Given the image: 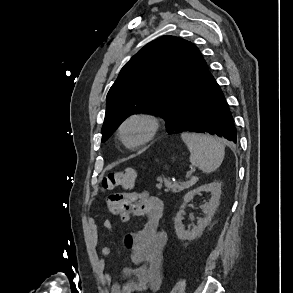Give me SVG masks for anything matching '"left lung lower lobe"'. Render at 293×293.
Listing matches in <instances>:
<instances>
[{
	"mask_svg": "<svg viewBox=\"0 0 293 293\" xmlns=\"http://www.w3.org/2000/svg\"><path fill=\"white\" fill-rule=\"evenodd\" d=\"M215 134L236 143L237 134L223 92L212 77L208 85L185 107L180 122L172 132Z\"/></svg>",
	"mask_w": 293,
	"mask_h": 293,
	"instance_id": "1",
	"label": "left lung lower lobe"
}]
</instances>
